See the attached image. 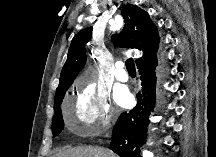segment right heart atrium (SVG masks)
Listing matches in <instances>:
<instances>
[{"instance_id":"1","label":"right heart atrium","mask_w":216,"mask_h":157,"mask_svg":"<svg viewBox=\"0 0 216 157\" xmlns=\"http://www.w3.org/2000/svg\"><path fill=\"white\" fill-rule=\"evenodd\" d=\"M118 112L107 92L90 81H79L74 113L70 117L72 129L79 135L90 136L108 128Z\"/></svg>"}]
</instances>
